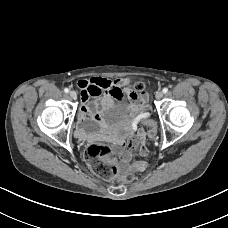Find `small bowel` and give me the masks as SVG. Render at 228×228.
<instances>
[{"label":"small bowel","instance_id":"c3829d8e","mask_svg":"<svg viewBox=\"0 0 228 228\" xmlns=\"http://www.w3.org/2000/svg\"><path fill=\"white\" fill-rule=\"evenodd\" d=\"M77 86L81 90L78 135L82 139H86L88 134L96 128L104 111L115 100H127L131 108L139 111L140 117L146 116L147 94L143 90H139L137 85L128 78L109 80L102 77H92L79 80ZM116 145L124 170L142 172L146 169L147 164L144 160L130 163L132 150L135 148H139L142 157L147 155L142 131L131 136L127 141L119 140Z\"/></svg>","mask_w":228,"mask_h":228}]
</instances>
